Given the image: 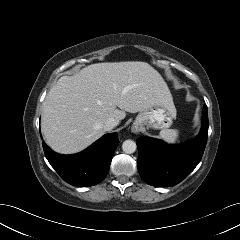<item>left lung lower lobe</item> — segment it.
<instances>
[{
  "mask_svg": "<svg viewBox=\"0 0 240 240\" xmlns=\"http://www.w3.org/2000/svg\"><path fill=\"white\" fill-rule=\"evenodd\" d=\"M208 112L204 106L202 128L192 141L168 145L161 140L141 136L138 147V171L152 186L170 187L185 179L200 162L208 137Z\"/></svg>",
  "mask_w": 240,
  "mask_h": 240,
  "instance_id": "0a47b994",
  "label": "left lung lower lobe"
}]
</instances>
